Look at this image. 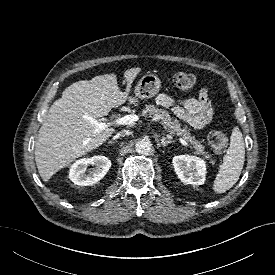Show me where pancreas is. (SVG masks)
I'll return each mask as SVG.
<instances>
[{
  "instance_id": "1",
  "label": "pancreas",
  "mask_w": 275,
  "mask_h": 275,
  "mask_svg": "<svg viewBox=\"0 0 275 275\" xmlns=\"http://www.w3.org/2000/svg\"><path fill=\"white\" fill-rule=\"evenodd\" d=\"M142 114L157 117L170 134L182 137L193 146L196 154L202 155L205 159L210 160L211 163L214 162L211 155L205 151L202 143L191 135L187 127H182L177 119H173L166 110L149 104L145 106Z\"/></svg>"
}]
</instances>
